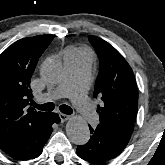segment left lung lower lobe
Segmentation results:
<instances>
[{
	"mask_svg": "<svg viewBox=\"0 0 165 165\" xmlns=\"http://www.w3.org/2000/svg\"><path fill=\"white\" fill-rule=\"evenodd\" d=\"M89 129L91 132L89 141L77 148L78 156L89 162L101 163L113 159L129 142V138L100 125L96 128L89 125Z\"/></svg>",
	"mask_w": 165,
	"mask_h": 165,
	"instance_id": "left-lung-lower-lobe-1",
	"label": "left lung lower lobe"
}]
</instances>
